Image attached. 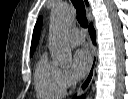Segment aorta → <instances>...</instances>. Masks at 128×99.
Instances as JSON below:
<instances>
[{
    "label": "aorta",
    "mask_w": 128,
    "mask_h": 99,
    "mask_svg": "<svg viewBox=\"0 0 128 99\" xmlns=\"http://www.w3.org/2000/svg\"><path fill=\"white\" fill-rule=\"evenodd\" d=\"M73 19V10L66 5L57 6L51 12L50 51L53 63L61 67L70 65L72 61V50L65 39L64 32Z\"/></svg>",
    "instance_id": "1"
}]
</instances>
